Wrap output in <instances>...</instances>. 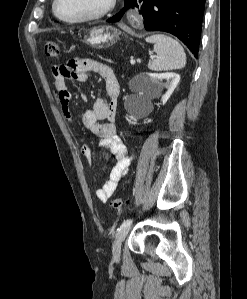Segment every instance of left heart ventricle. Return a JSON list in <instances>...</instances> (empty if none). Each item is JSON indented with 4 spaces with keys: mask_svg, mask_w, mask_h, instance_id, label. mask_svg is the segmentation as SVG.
Segmentation results:
<instances>
[{
    "mask_svg": "<svg viewBox=\"0 0 247 299\" xmlns=\"http://www.w3.org/2000/svg\"><path fill=\"white\" fill-rule=\"evenodd\" d=\"M106 0H59L57 11L66 19L80 18L97 12Z\"/></svg>",
    "mask_w": 247,
    "mask_h": 299,
    "instance_id": "b2bd125f",
    "label": "left heart ventricle"
}]
</instances>
